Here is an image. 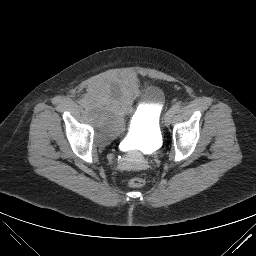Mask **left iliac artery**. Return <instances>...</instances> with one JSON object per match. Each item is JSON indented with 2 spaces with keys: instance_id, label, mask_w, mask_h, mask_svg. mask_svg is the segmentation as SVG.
Here are the masks:
<instances>
[{
  "instance_id": "1",
  "label": "left iliac artery",
  "mask_w": 256,
  "mask_h": 256,
  "mask_svg": "<svg viewBox=\"0 0 256 256\" xmlns=\"http://www.w3.org/2000/svg\"><path fill=\"white\" fill-rule=\"evenodd\" d=\"M181 105L176 103L175 105L172 106L171 110L176 113L177 111H179Z\"/></svg>"
}]
</instances>
